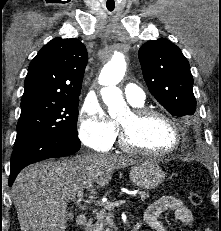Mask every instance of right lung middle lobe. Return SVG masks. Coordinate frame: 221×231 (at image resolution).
<instances>
[{"label":"right lung middle lobe","mask_w":221,"mask_h":231,"mask_svg":"<svg viewBox=\"0 0 221 231\" xmlns=\"http://www.w3.org/2000/svg\"><path fill=\"white\" fill-rule=\"evenodd\" d=\"M78 97L43 96L21 101L14 147L41 136L78 139Z\"/></svg>","instance_id":"right-lung-middle-lobe-1"}]
</instances>
